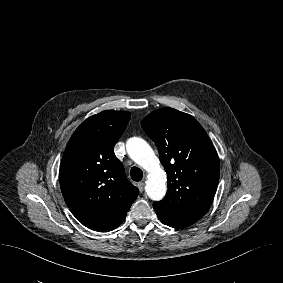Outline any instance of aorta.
I'll return each instance as SVG.
<instances>
[{
    "label": "aorta",
    "mask_w": 283,
    "mask_h": 283,
    "mask_svg": "<svg viewBox=\"0 0 283 283\" xmlns=\"http://www.w3.org/2000/svg\"><path fill=\"white\" fill-rule=\"evenodd\" d=\"M126 149L130 158L149 173L145 186L149 198L154 201L162 200L167 191L166 173L160 167L150 145L141 138L133 137L127 141Z\"/></svg>",
    "instance_id": "1"
}]
</instances>
